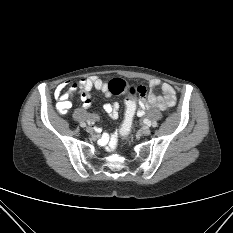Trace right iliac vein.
I'll return each mask as SVG.
<instances>
[{
  "label": "right iliac vein",
  "mask_w": 233,
  "mask_h": 233,
  "mask_svg": "<svg viewBox=\"0 0 233 233\" xmlns=\"http://www.w3.org/2000/svg\"><path fill=\"white\" fill-rule=\"evenodd\" d=\"M86 131H87L88 133H90V134H93V133H94L93 128L90 127V126H87V127H86Z\"/></svg>",
  "instance_id": "right-iliac-vein-1"
}]
</instances>
